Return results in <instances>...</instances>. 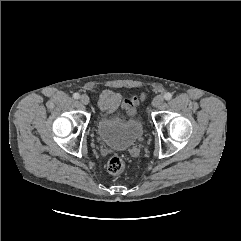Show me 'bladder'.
<instances>
[{
    "mask_svg": "<svg viewBox=\"0 0 241 241\" xmlns=\"http://www.w3.org/2000/svg\"><path fill=\"white\" fill-rule=\"evenodd\" d=\"M143 124L138 117L126 121L100 116L97 132L103 143L115 150H127L143 136Z\"/></svg>",
    "mask_w": 241,
    "mask_h": 241,
    "instance_id": "bladder-1",
    "label": "bladder"
}]
</instances>
